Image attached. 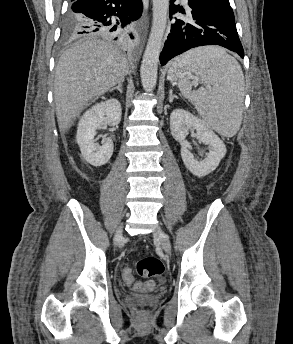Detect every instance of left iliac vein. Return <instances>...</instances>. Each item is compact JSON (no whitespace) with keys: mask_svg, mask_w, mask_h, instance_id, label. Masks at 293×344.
Instances as JSON below:
<instances>
[{"mask_svg":"<svg viewBox=\"0 0 293 344\" xmlns=\"http://www.w3.org/2000/svg\"><path fill=\"white\" fill-rule=\"evenodd\" d=\"M154 237L161 241L162 247L167 254L171 252V245L168 235L162 230L160 226H157L154 233Z\"/></svg>","mask_w":293,"mask_h":344,"instance_id":"4c4485c4","label":"left iliac vein"}]
</instances>
